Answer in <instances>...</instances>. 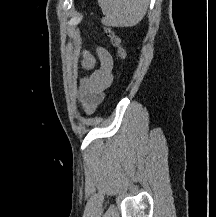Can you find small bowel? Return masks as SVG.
Instances as JSON below:
<instances>
[{"label":"small bowel","mask_w":216,"mask_h":217,"mask_svg":"<svg viewBox=\"0 0 216 217\" xmlns=\"http://www.w3.org/2000/svg\"><path fill=\"white\" fill-rule=\"evenodd\" d=\"M97 57L85 50L81 56V66L87 72L79 81L77 94L87 114L93 113L105 97L113 79V59L103 47L96 49ZM98 62V67L95 66Z\"/></svg>","instance_id":"small-bowel-1"}]
</instances>
